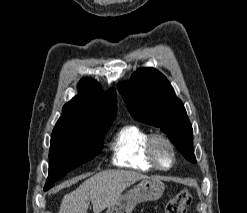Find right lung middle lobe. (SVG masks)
<instances>
[{"label":"right lung middle lobe","mask_w":247,"mask_h":213,"mask_svg":"<svg viewBox=\"0 0 247 213\" xmlns=\"http://www.w3.org/2000/svg\"><path fill=\"white\" fill-rule=\"evenodd\" d=\"M111 123L88 131H54L49 151V176L44 190L53 187L69 171L92 160L102 151Z\"/></svg>","instance_id":"right-lung-middle-lobe-1"}]
</instances>
